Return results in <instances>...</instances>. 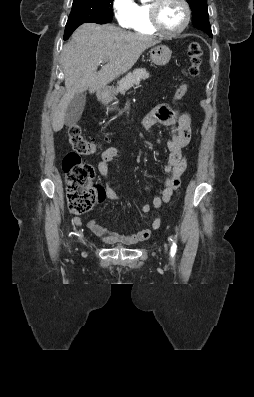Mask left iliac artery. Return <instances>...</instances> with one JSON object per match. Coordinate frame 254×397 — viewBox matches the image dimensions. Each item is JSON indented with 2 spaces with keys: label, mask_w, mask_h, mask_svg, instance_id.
I'll use <instances>...</instances> for the list:
<instances>
[{
  "label": "left iliac artery",
  "mask_w": 254,
  "mask_h": 397,
  "mask_svg": "<svg viewBox=\"0 0 254 397\" xmlns=\"http://www.w3.org/2000/svg\"><path fill=\"white\" fill-rule=\"evenodd\" d=\"M176 248H177L176 243L173 242V243H172V246H171V255H172V256L175 255Z\"/></svg>",
  "instance_id": "44dca946"
}]
</instances>
